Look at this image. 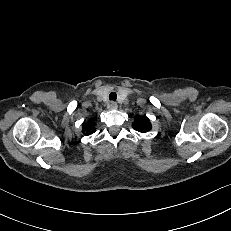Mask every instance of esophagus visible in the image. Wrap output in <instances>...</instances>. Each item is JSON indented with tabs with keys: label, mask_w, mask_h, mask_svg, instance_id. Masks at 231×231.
<instances>
[{
	"label": "esophagus",
	"mask_w": 231,
	"mask_h": 231,
	"mask_svg": "<svg viewBox=\"0 0 231 231\" xmlns=\"http://www.w3.org/2000/svg\"><path fill=\"white\" fill-rule=\"evenodd\" d=\"M117 107H118L117 103L113 102V101L110 102L109 106H108V108L111 109V110H115V109H117Z\"/></svg>",
	"instance_id": "1"
}]
</instances>
